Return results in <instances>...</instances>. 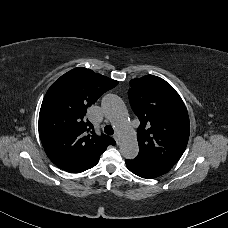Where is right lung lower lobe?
Returning a JSON list of instances; mask_svg holds the SVG:
<instances>
[{
    "label": "right lung lower lobe",
    "instance_id": "98d812e1",
    "mask_svg": "<svg viewBox=\"0 0 228 228\" xmlns=\"http://www.w3.org/2000/svg\"><path fill=\"white\" fill-rule=\"evenodd\" d=\"M99 158H100V157H99ZM99 158L92 160L91 162H89V163L86 164L85 166L81 167L80 169H78V170L75 171L74 173H80V172H83V171H85V170H87V169H90V168L94 167V166L98 163Z\"/></svg>",
    "mask_w": 228,
    "mask_h": 228
}]
</instances>
